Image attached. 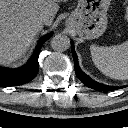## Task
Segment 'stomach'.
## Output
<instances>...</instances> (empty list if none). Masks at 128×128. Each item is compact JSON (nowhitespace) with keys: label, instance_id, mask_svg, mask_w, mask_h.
<instances>
[{"label":"stomach","instance_id":"stomach-1","mask_svg":"<svg viewBox=\"0 0 128 128\" xmlns=\"http://www.w3.org/2000/svg\"><path fill=\"white\" fill-rule=\"evenodd\" d=\"M111 0H78L76 9L66 20L82 39H95L107 28V11Z\"/></svg>","mask_w":128,"mask_h":128}]
</instances>
